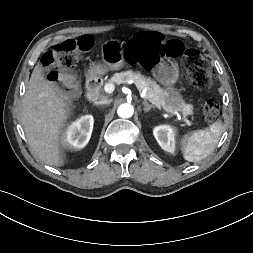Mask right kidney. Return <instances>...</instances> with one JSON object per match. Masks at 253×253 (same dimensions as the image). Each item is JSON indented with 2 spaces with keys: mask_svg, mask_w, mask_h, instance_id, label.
Returning <instances> with one entry per match:
<instances>
[{
  "mask_svg": "<svg viewBox=\"0 0 253 253\" xmlns=\"http://www.w3.org/2000/svg\"><path fill=\"white\" fill-rule=\"evenodd\" d=\"M93 125L92 115H85L74 121L64 134L63 145L72 150L84 148L90 140Z\"/></svg>",
  "mask_w": 253,
  "mask_h": 253,
  "instance_id": "1",
  "label": "right kidney"
}]
</instances>
